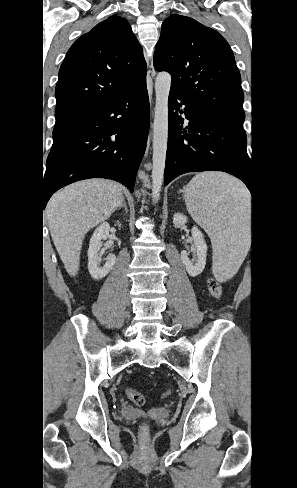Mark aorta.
<instances>
[{"mask_svg":"<svg viewBox=\"0 0 297 488\" xmlns=\"http://www.w3.org/2000/svg\"><path fill=\"white\" fill-rule=\"evenodd\" d=\"M171 87V75L160 72L155 80V114L153 123V167L152 199L156 204L160 199L163 183L166 151L168 142V98Z\"/></svg>","mask_w":297,"mask_h":488,"instance_id":"1","label":"aorta"}]
</instances>
